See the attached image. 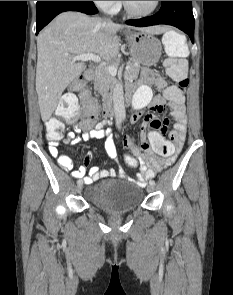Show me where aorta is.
<instances>
[{"label":"aorta","mask_w":233,"mask_h":295,"mask_svg":"<svg viewBox=\"0 0 233 295\" xmlns=\"http://www.w3.org/2000/svg\"><path fill=\"white\" fill-rule=\"evenodd\" d=\"M113 105L115 113L121 116L125 115L124 93L121 84L117 85L113 94Z\"/></svg>","instance_id":"1"}]
</instances>
